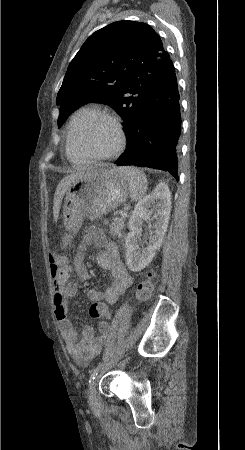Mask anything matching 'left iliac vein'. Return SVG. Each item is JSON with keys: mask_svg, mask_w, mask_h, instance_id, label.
<instances>
[{"mask_svg": "<svg viewBox=\"0 0 245 450\" xmlns=\"http://www.w3.org/2000/svg\"><path fill=\"white\" fill-rule=\"evenodd\" d=\"M96 381H93V383L89 387V399L91 403H94L96 401V388H95Z\"/></svg>", "mask_w": 245, "mask_h": 450, "instance_id": "left-iliac-vein-1", "label": "left iliac vein"}]
</instances>
